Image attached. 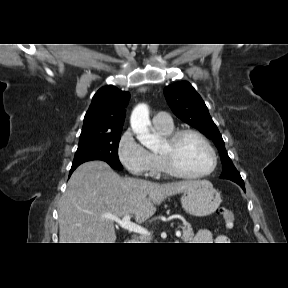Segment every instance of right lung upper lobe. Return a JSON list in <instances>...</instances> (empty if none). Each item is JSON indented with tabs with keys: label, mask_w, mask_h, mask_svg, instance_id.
Returning <instances> with one entry per match:
<instances>
[{
	"label": "right lung upper lobe",
	"mask_w": 288,
	"mask_h": 288,
	"mask_svg": "<svg viewBox=\"0 0 288 288\" xmlns=\"http://www.w3.org/2000/svg\"><path fill=\"white\" fill-rule=\"evenodd\" d=\"M129 98V92L114 86L100 88L84 117L80 140L121 132Z\"/></svg>",
	"instance_id": "right-lung-upper-lobe-1"
}]
</instances>
